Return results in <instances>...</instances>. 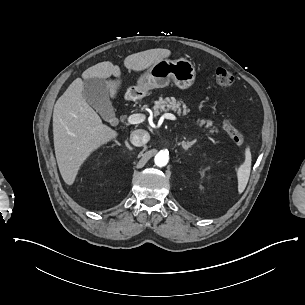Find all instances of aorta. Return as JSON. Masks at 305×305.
Listing matches in <instances>:
<instances>
[{"instance_id": "obj_1", "label": "aorta", "mask_w": 305, "mask_h": 305, "mask_svg": "<svg viewBox=\"0 0 305 305\" xmlns=\"http://www.w3.org/2000/svg\"><path fill=\"white\" fill-rule=\"evenodd\" d=\"M169 161V154L166 151H159L154 158L155 165L158 167H164Z\"/></svg>"}]
</instances>
